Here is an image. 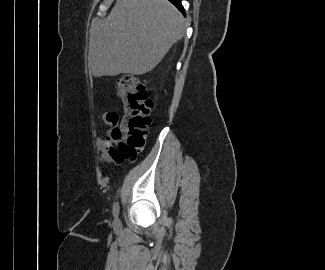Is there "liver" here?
<instances>
[{"label": "liver", "mask_w": 325, "mask_h": 270, "mask_svg": "<svg viewBox=\"0 0 325 270\" xmlns=\"http://www.w3.org/2000/svg\"><path fill=\"white\" fill-rule=\"evenodd\" d=\"M185 31L168 0H117L107 18L93 21L89 67L95 77L153 70Z\"/></svg>", "instance_id": "1"}]
</instances>
